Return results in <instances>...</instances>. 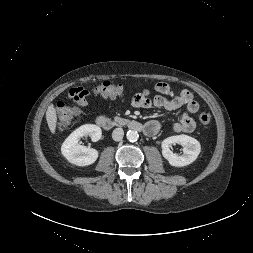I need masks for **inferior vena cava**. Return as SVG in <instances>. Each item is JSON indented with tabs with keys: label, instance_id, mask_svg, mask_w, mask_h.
I'll return each instance as SVG.
<instances>
[{
	"label": "inferior vena cava",
	"instance_id": "602c4592",
	"mask_svg": "<svg viewBox=\"0 0 253 253\" xmlns=\"http://www.w3.org/2000/svg\"><path fill=\"white\" fill-rule=\"evenodd\" d=\"M123 136H124V131H123L122 128H116V129H114L113 132H112V138H113V140H115V141H120V140H122Z\"/></svg>",
	"mask_w": 253,
	"mask_h": 253
}]
</instances>
